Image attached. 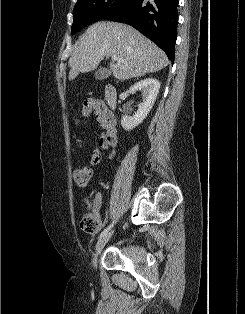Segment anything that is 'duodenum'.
I'll return each mask as SVG.
<instances>
[{
	"instance_id": "1",
	"label": "duodenum",
	"mask_w": 245,
	"mask_h": 314,
	"mask_svg": "<svg viewBox=\"0 0 245 314\" xmlns=\"http://www.w3.org/2000/svg\"><path fill=\"white\" fill-rule=\"evenodd\" d=\"M105 105L107 107L108 113H111V110L115 109L117 106V88L113 84H108L105 87L104 92Z\"/></svg>"
}]
</instances>
